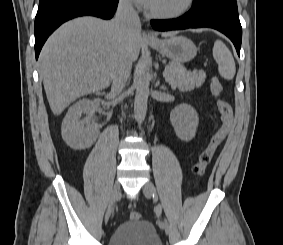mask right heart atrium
Instances as JSON below:
<instances>
[{"instance_id": "obj_1", "label": "right heart atrium", "mask_w": 283, "mask_h": 245, "mask_svg": "<svg viewBox=\"0 0 283 245\" xmlns=\"http://www.w3.org/2000/svg\"><path fill=\"white\" fill-rule=\"evenodd\" d=\"M121 1V3L123 4V5H125V6H129L130 5V2H131V0H120Z\"/></svg>"}]
</instances>
